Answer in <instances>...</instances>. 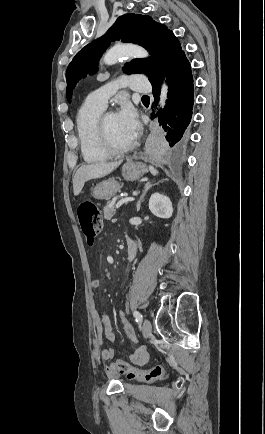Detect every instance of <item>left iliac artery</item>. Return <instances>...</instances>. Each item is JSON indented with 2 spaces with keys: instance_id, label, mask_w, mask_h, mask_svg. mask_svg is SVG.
Returning a JSON list of instances; mask_svg holds the SVG:
<instances>
[{
  "instance_id": "44dca946",
  "label": "left iliac artery",
  "mask_w": 265,
  "mask_h": 434,
  "mask_svg": "<svg viewBox=\"0 0 265 434\" xmlns=\"http://www.w3.org/2000/svg\"><path fill=\"white\" fill-rule=\"evenodd\" d=\"M133 315L135 317L136 322L140 323L142 321V315L138 311H134Z\"/></svg>"
}]
</instances>
